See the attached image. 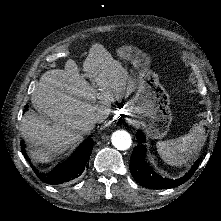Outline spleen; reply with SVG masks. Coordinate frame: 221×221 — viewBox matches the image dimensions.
Wrapping results in <instances>:
<instances>
[{"label": "spleen", "mask_w": 221, "mask_h": 221, "mask_svg": "<svg viewBox=\"0 0 221 221\" xmlns=\"http://www.w3.org/2000/svg\"><path fill=\"white\" fill-rule=\"evenodd\" d=\"M205 129L201 124H195L191 131L179 138L157 143L160 158L170 166L182 167L187 164L205 140Z\"/></svg>", "instance_id": "spleen-1"}]
</instances>
